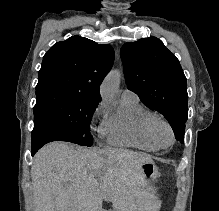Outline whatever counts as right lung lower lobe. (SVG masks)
Here are the masks:
<instances>
[{
    "label": "right lung lower lobe",
    "instance_id": "1",
    "mask_svg": "<svg viewBox=\"0 0 219 211\" xmlns=\"http://www.w3.org/2000/svg\"><path fill=\"white\" fill-rule=\"evenodd\" d=\"M52 141H68L71 143H80V140L72 135L55 131H39L32 133V156L46 143Z\"/></svg>",
    "mask_w": 219,
    "mask_h": 211
}]
</instances>
